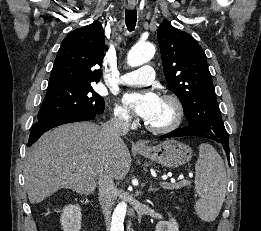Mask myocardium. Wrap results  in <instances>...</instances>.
<instances>
[{
    "instance_id": "obj_1",
    "label": "myocardium",
    "mask_w": 261,
    "mask_h": 231,
    "mask_svg": "<svg viewBox=\"0 0 261 231\" xmlns=\"http://www.w3.org/2000/svg\"><path fill=\"white\" fill-rule=\"evenodd\" d=\"M160 99L167 101L172 105V107L174 109L173 121L170 124H168L167 126H163V127L153 126V125L149 124L148 122H145V127L150 132H153L156 134H168V133H171V132L177 130L181 126L183 119H184V107H183V104L180 101V99L178 97H176L175 95L164 94L161 96Z\"/></svg>"
}]
</instances>
